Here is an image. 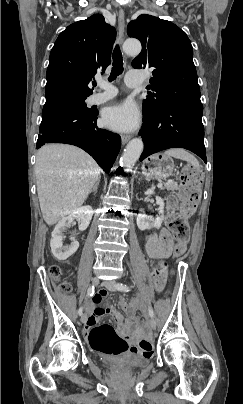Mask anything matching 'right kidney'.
Segmentation results:
<instances>
[{"instance_id":"obj_1","label":"right kidney","mask_w":243,"mask_h":404,"mask_svg":"<svg viewBox=\"0 0 243 404\" xmlns=\"http://www.w3.org/2000/svg\"><path fill=\"white\" fill-rule=\"evenodd\" d=\"M93 212L90 206H82L78 210H74L67 218H62L55 226L50 240V248L53 256L57 260H68L72 254H75L79 248V242H72L69 246H63V232L69 228L70 224L77 220L78 230H86L92 220Z\"/></svg>"}]
</instances>
